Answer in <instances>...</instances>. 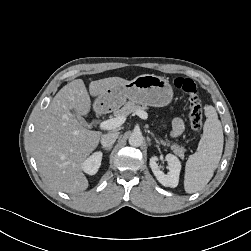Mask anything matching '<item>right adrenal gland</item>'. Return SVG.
Listing matches in <instances>:
<instances>
[{"label": "right adrenal gland", "instance_id": "obj_1", "mask_svg": "<svg viewBox=\"0 0 251 251\" xmlns=\"http://www.w3.org/2000/svg\"><path fill=\"white\" fill-rule=\"evenodd\" d=\"M102 149H104L106 151H110L112 149V147H102Z\"/></svg>", "mask_w": 251, "mask_h": 251}]
</instances>
